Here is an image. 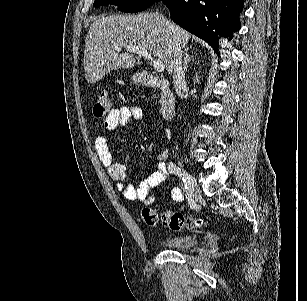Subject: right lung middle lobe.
<instances>
[{"label": "right lung middle lobe", "mask_w": 307, "mask_h": 301, "mask_svg": "<svg viewBox=\"0 0 307 301\" xmlns=\"http://www.w3.org/2000/svg\"><path fill=\"white\" fill-rule=\"evenodd\" d=\"M158 0H95L93 7H100L109 4L118 6L122 12H141Z\"/></svg>", "instance_id": "obj_1"}]
</instances>
